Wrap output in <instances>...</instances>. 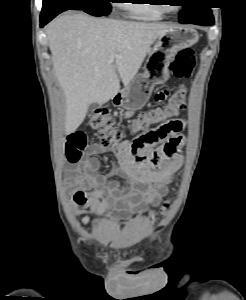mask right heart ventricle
I'll use <instances>...</instances> for the list:
<instances>
[{
  "instance_id": "e07e8e85",
  "label": "right heart ventricle",
  "mask_w": 246,
  "mask_h": 300,
  "mask_svg": "<svg viewBox=\"0 0 246 300\" xmlns=\"http://www.w3.org/2000/svg\"><path fill=\"white\" fill-rule=\"evenodd\" d=\"M124 9L130 17L142 21H160L164 14L155 0H138L136 3L125 4Z\"/></svg>"
}]
</instances>
